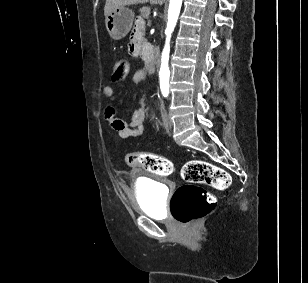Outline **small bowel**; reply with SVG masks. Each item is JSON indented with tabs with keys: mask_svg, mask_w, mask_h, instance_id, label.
<instances>
[{
	"mask_svg": "<svg viewBox=\"0 0 308 283\" xmlns=\"http://www.w3.org/2000/svg\"><path fill=\"white\" fill-rule=\"evenodd\" d=\"M145 33V24L141 18L136 19L130 39L127 45V51L130 55L137 57L141 55L143 39ZM146 78L144 70L137 71L133 76V81L139 83ZM103 94L109 99V104L105 108L104 117L109 122L113 130H115L120 138L137 137L145 131V121L147 118V110L144 107L137 108L127 119H122L117 115L114 106L116 96L114 88L110 85L104 86Z\"/></svg>",
	"mask_w": 308,
	"mask_h": 283,
	"instance_id": "c3829d8e",
	"label": "small bowel"
}]
</instances>
